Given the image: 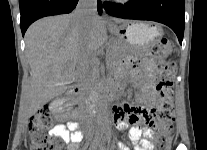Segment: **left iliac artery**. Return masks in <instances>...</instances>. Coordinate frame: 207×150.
Instances as JSON below:
<instances>
[{
    "label": "left iliac artery",
    "mask_w": 207,
    "mask_h": 150,
    "mask_svg": "<svg viewBox=\"0 0 207 150\" xmlns=\"http://www.w3.org/2000/svg\"><path fill=\"white\" fill-rule=\"evenodd\" d=\"M106 135H107V137L109 138V131H106ZM118 146H119V148L121 149V150H129L126 146H124L122 143H118Z\"/></svg>",
    "instance_id": "1"
}]
</instances>
